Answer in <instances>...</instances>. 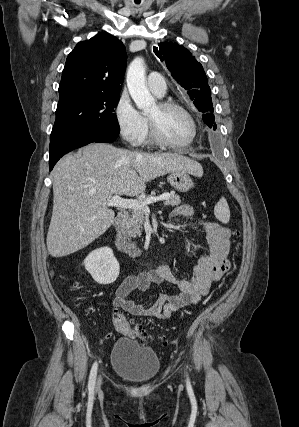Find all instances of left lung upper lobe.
<instances>
[{
	"label": "left lung upper lobe",
	"mask_w": 299,
	"mask_h": 427,
	"mask_svg": "<svg viewBox=\"0 0 299 427\" xmlns=\"http://www.w3.org/2000/svg\"><path fill=\"white\" fill-rule=\"evenodd\" d=\"M157 56L166 63L173 78L188 90V95L196 108L203 113V121L214 130L215 116L211 100V90L202 65L188 49L177 43H159Z\"/></svg>",
	"instance_id": "obj_1"
}]
</instances>
